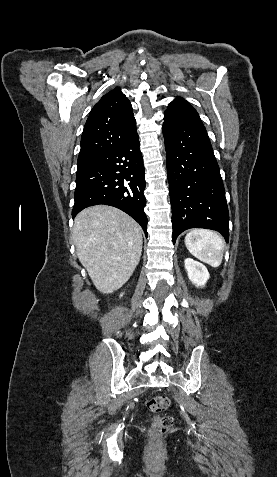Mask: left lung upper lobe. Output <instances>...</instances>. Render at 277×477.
<instances>
[{"mask_svg":"<svg viewBox=\"0 0 277 477\" xmlns=\"http://www.w3.org/2000/svg\"><path fill=\"white\" fill-rule=\"evenodd\" d=\"M164 122L203 125L197 111L184 99L177 97L165 111Z\"/></svg>","mask_w":277,"mask_h":477,"instance_id":"obj_1","label":"left lung upper lobe"}]
</instances>
